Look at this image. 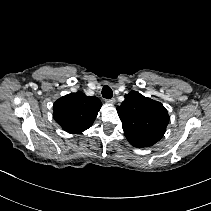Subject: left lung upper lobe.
I'll use <instances>...</instances> for the list:
<instances>
[{
    "instance_id": "1",
    "label": "left lung upper lobe",
    "mask_w": 211,
    "mask_h": 211,
    "mask_svg": "<svg viewBox=\"0 0 211 211\" xmlns=\"http://www.w3.org/2000/svg\"><path fill=\"white\" fill-rule=\"evenodd\" d=\"M116 109L124 134L132 146L150 147L165 134L170 118L160 102L131 91Z\"/></svg>"
}]
</instances>
